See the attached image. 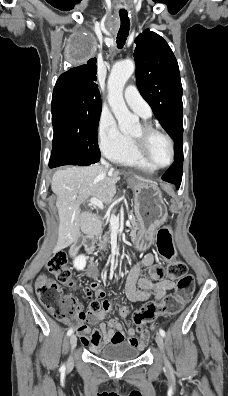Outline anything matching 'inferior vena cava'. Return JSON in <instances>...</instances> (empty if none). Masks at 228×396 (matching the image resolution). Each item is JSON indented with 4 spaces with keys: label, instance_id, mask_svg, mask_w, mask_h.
<instances>
[{
    "label": "inferior vena cava",
    "instance_id": "1",
    "mask_svg": "<svg viewBox=\"0 0 228 396\" xmlns=\"http://www.w3.org/2000/svg\"><path fill=\"white\" fill-rule=\"evenodd\" d=\"M101 164L104 165L105 168H109L110 167L109 163L106 162L104 159H101ZM111 170H113V169L111 168Z\"/></svg>",
    "mask_w": 228,
    "mask_h": 396
}]
</instances>
